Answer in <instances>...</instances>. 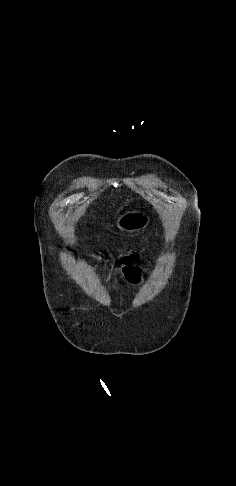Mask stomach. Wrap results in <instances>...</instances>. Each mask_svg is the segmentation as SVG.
<instances>
[{"instance_id":"0dacf381","label":"stomach","mask_w":236,"mask_h":486,"mask_svg":"<svg viewBox=\"0 0 236 486\" xmlns=\"http://www.w3.org/2000/svg\"><path fill=\"white\" fill-rule=\"evenodd\" d=\"M149 216L141 210H131L120 215L115 225L121 231L136 232L143 230L149 224Z\"/></svg>"}]
</instances>
